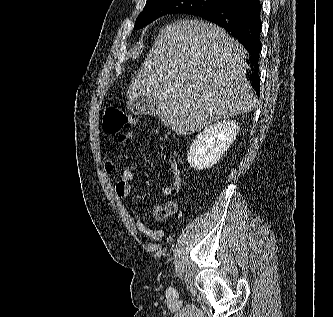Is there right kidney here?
I'll use <instances>...</instances> for the list:
<instances>
[{
    "label": "right kidney",
    "instance_id": "1",
    "mask_svg": "<svg viewBox=\"0 0 333 317\" xmlns=\"http://www.w3.org/2000/svg\"><path fill=\"white\" fill-rule=\"evenodd\" d=\"M239 124L232 120H221L206 127L193 141L187 154L188 163L195 170L215 165L236 138Z\"/></svg>",
    "mask_w": 333,
    "mask_h": 317
}]
</instances>
